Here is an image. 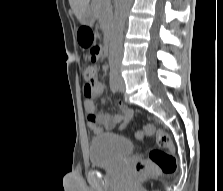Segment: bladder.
Masks as SVG:
<instances>
[{"mask_svg": "<svg viewBox=\"0 0 223 191\" xmlns=\"http://www.w3.org/2000/svg\"><path fill=\"white\" fill-rule=\"evenodd\" d=\"M128 138L116 134H103L91 139L88 156L91 167L114 166L133 152Z\"/></svg>", "mask_w": 223, "mask_h": 191, "instance_id": "31cf9c89", "label": "bladder"}]
</instances>
